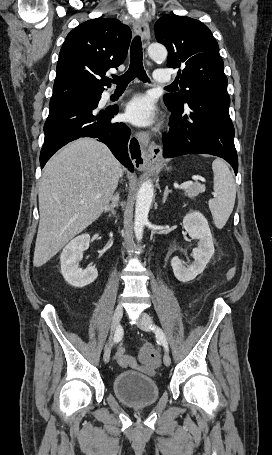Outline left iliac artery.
<instances>
[{
    "mask_svg": "<svg viewBox=\"0 0 272 455\" xmlns=\"http://www.w3.org/2000/svg\"><path fill=\"white\" fill-rule=\"evenodd\" d=\"M151 329L155 332L157 339L162 342L165 350L168 351V344L163 331L157 326H151Z\"/></svg>",
    "mask_w": 272,
    "mask_h": 455,
    "instance_id": "1",
    "label": "left iliac artery"
}]
</instances>
